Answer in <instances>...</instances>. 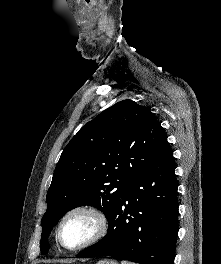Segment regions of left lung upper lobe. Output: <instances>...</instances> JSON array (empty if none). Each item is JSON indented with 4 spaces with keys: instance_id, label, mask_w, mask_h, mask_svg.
Returning a JSON list of instances; mask_svg holds the SVG:
<instances>
[{
    "instance_id": "1",
    "label": "left lung upper lobe",
    "mask_w": 221,
    "mask_h": 264,
    "mask_svg": "<svg viewBox=\"0 0 221 264\" xmlns=\"http://www.w3.org/2000/svg\"><path fill=\"white\" fill-rule=\"evenodd\" d=\"M166 142L154 114L132 100L120 101L86 123L55 168L41 221V253L48 252V236L67 211L91 205L108 218L129 184L157 159Z\"/></svg>"
}]
</instances>
